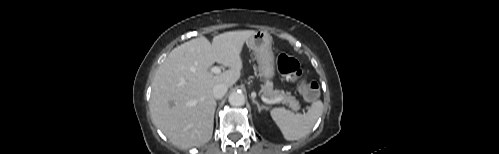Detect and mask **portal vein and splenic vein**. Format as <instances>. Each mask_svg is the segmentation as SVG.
Masks as SVG:
<instances>
[{
  "label": "portal vein and splenic vein",
  "mask_w": 499,
  "mask_h": 154,
  "mask_svg": "<svg viewBox=\"0 0 499 154\" xmlns=\"http://www.w3.org/2000/svg\"><path fill=\"white\" fill-rule=\"evenodd\" d=\"M211 72H213L214 74H219L221 72V69L219 67H212ZM262 101L267 103V104H275V103H278L280 101V99H268V98L262 97Z\"/></svg>",
  "instance_id": "1"
}]
</instances>
